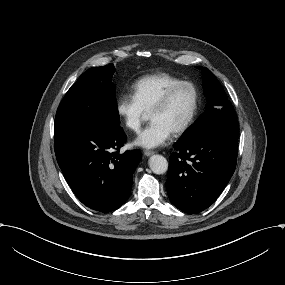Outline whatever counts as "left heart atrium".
<instances>
[{
  "label": "left heart atrium",
  "instance_id": "left-heart-atrium-1",
  "mask_svg": "<svg viewBox=\"0 0 285 285\" xmlns=\"http://www.w3.org/2000/svg\"><path fill=\"white\" fill-rule=\"evenodd\" d=\"M172 129L159 120H152L138 135L136 143L142 147L155 148L166 143L172 134Z\"/></svg>",
  "mask_w": 285,
  "mask_h": 285
}]
</instances>
